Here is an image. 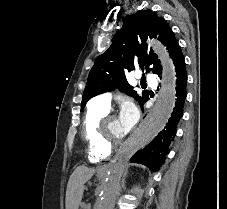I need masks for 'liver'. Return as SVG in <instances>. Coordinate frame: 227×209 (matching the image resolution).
<instances>
[{
  "instance_id": "1",
  "label": "liver",
  "mask_w": 227,
  "mask_h": 209,
  "mask_svg": "<svg viewBox=\"0 0 227 209\" xmlns=\"http://www.w3.org/2000/svg\"><path fill=\"white\" fill-rule=\"evenodd\" d=\"M94 173V169H87V167H77L74 173H72L66 191V209H78L79 203H81L83 191V183L91 179Z\"/></svg>"
}]
</instances>
